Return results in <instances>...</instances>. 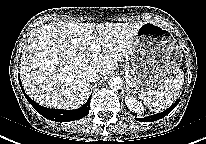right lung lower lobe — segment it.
Returning <instances> with one entry per match:
<instances>
[{"label": "right lung lower lobe", "instance_id": "1", "mask_svg": "<svg viewBox=\"0 0 206 144\" xmlns=\"http://www.w3.org/2000/svg\"><path fill=\"white\" fill-rule=\"evenodd\" d=\"M22 91L26 99L28 100V102L34 107V109L37 112H39L43 117L49 120L56 121V122H68V121H73V120L83 118L88 114L89 109H90L91 97L88 98L87 102L82 107L75 109V110L49 109V108L40 106L38 103L33 101L25 93L23 88H22Z\"/></svg>", "mask_w": 206, "mask_h": 144}]
</instances>
